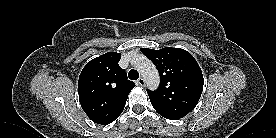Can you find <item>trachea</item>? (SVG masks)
<instances>
[{
  "instance_id": "obj_1",
  "label": "trachea",
  "mask_w": 276,
  "mask_h": 138,
  "mask_svg": "<svg viewBox=\"0 0 276 138\" xmlns=\"http://www.w3.org/2000/svg\"><path fill=\"white\" fill-rule=\"evenodd\" d=\"M128 77L131 80H137L139 78V73L138 71L131 69L128 73Z\"/></svg>"
}]
</instances>
